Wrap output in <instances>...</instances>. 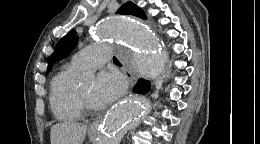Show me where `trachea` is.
<instances>
[{"mask_svg":"<svg viewBox=\"0 0 260 144\" xmlns=\"http://www.w3.org/2000/svg\"><path fill=\"white\" fill-rule=\"evenodd\" d=\"M114 63H120L116 57H113Z\"/></svg>","mask_w":260,"mask_h":144,"instance_id":"trachea-1","label":"trachea"}]
</instances>
